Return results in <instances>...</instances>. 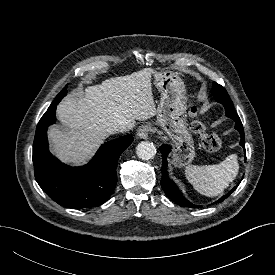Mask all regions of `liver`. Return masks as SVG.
Wrapping results in <instances>:
<instances>
[{
	"label": "liver",
	"mask_w": 275,
	"mask_h": 275,
	"mask_svg": "<svg viewBox=\"0 0 275 275\" xmlns=\"http://www.w3.org/2000/svg\"><path fill=\"white\" fill-rule=\"evenodd\" d=\"M145 68L130 75L110 78L100 85L88 86L78 98L67 97L57 107V116L67 128L51 126L48 136L52 152L65 163L80 165L121 124L135 125L157 110L151 76ZM132 127V128H133Z\"/></svg>",
	"instance_id": "obj_1"
}]
</instances>
